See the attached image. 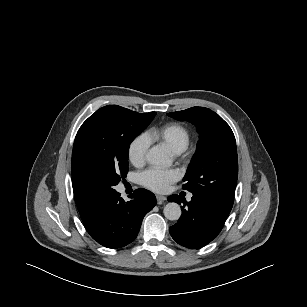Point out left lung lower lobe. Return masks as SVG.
I'll return each instance as SVG.
<instances>
[{
	"instance_id": "left-lung-lower-lobe-1",
	"label": "left lung lower lobe",
	"mask_w": 307,
	"mask_h": 307,
	"mask_svg": "<svg viewBox=\"0 0 307 307\" xmlns=\"http://www.w3.org/2000/svg\"><path fill=\"white\" fill-rule=\"evenodd\" d=\"M168 201L185 204L178 222L169 228L172 238L187 248H201L211 242L221 231L228 214L202 197L193 196L190 202L174 194ZM187 205V208L184 207Z\"/></svg>"
}]
</instances>
